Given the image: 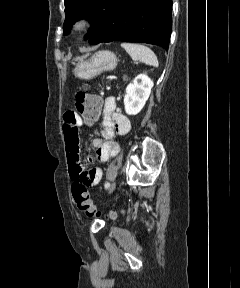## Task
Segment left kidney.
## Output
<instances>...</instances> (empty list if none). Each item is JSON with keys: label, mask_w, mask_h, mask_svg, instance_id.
Returning <instances> with one entry per match:
<instances>
[{"label": "left kidney", "mask_w": 240, "mask_h": 288, "mask_svg": "<svg viewBox=\"0 0 240 288\" xmlns=\"http://www.w3.org/2000/svg\"><path fill=\"white\" fill-rule=\"evenodd\" d=\"M153 85L146 74H140L126 87L124 106L128 115H136L143 109Z\"/></svg>", "instance_id": "obj_1"}]
</instances>
